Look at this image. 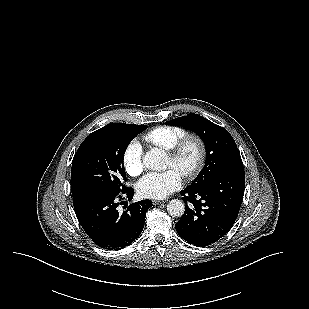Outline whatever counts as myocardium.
I'll use <instances>...</instances> for the list:
<instances>
[{"instance_id": "obj_1", "label": "myocardium", "mask_w": 309, "mask_h": 309, "mask_svg": "<svg viewBox=\"0 0 309 309\" xmlns=\"http://www.w3.org/2000/svg\"><path fill=\"white\" fill-rule=\"evenodd\" d=\"M195 143L198 147V159L195 165L182 173V177L185 180H192L198 176V174L202 171L205 166L207 159V146L204 139L198 134H186L183 136L175 145L167 150L168 157L175 163L179 162L185 148L189 143Z\"/></svg>"}]
</instances>
